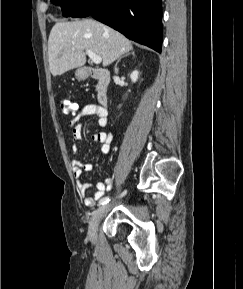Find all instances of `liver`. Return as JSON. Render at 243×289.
Masks as SVG:
<instances>
[{
	"label": "liver",
	"mask_w": 243,
	"mask_h": 289,
	"mask_svg": "<svg viewBox=\"0 0 243 289\" xmlns=\"http://www.w3.org/2000/svg\"><path fill=\"white\" fill-rule=\"evenodd\" d=\"M87 49L102 58L106 67L133 49L131 41L118 31L93 19L56 23L48 39L52 75H62L86 63Z\"/></svg>",
	"instance_id": "1"
}]
</instances>
